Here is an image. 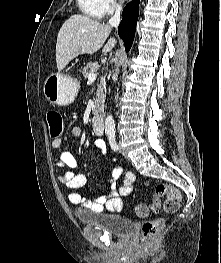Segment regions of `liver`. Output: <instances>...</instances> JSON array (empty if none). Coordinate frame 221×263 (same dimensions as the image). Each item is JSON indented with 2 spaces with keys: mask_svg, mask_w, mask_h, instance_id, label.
Here are the masks:
<instances>
[{
  "mask_svg": "<svg viewBox=\"0 0 221 263\" xmlns=\"http://www.w3.org/2000/svg\"><path fill=\"white\" fill-rule=\"evenodd\" d=\"M111 27L87 16L75 14L67 19L60 28L56 43V63L62 70L71 60L81 54H93L105 43ZM110 38L102 52L107 54L116 45Z\"/></svg>",
  "mask_w": 221,
  "mask_h": 263,
  "instance_id": "obj_1",
  "label": "liver"
}]
</instances>
